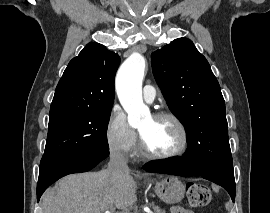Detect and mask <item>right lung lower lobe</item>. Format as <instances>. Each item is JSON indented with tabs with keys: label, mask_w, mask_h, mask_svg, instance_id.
Returning a JSON list of instances; mask_svg holds the SVG:
<instances>
[{
	"label": "right lung lower lobe",
	"mask_w": 270,
	"mask_h": 213,
	"mask_svg": "<svg viewBox=\"0 0 270 213\" xmlns=\"http://www.w3.org/2000/svg\"><path fill=\"white\" fill-rule=\"evenodd\" d=\"M109 151H99L86 156L47 159L41 161L37 184V200L55 181L72 173L87 172L108 157Z\"/></svg>",
	"instance_id": "right-lung-lower-lobe-1"
}]
</instances>
